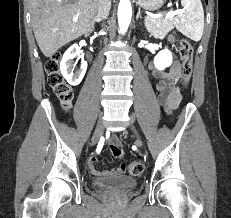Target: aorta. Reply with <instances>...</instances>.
<instances>
[{
  "label": "aorta",
  "mask_w": 231,
  "mask_h": 218,
  "mask_svg": "<svg viewBox=\"0 0 231 218\" xmlns=\"http://www.w3.org/2000/svg\"><path fill=\"white\" fill-rule=\"evenodd\" d=\"M132 16V8L130 0H120L118 6V24L122 34H124L130 24Z\"/></svg>",
  "instance_id": "762f6f07"
}]
</instances>
